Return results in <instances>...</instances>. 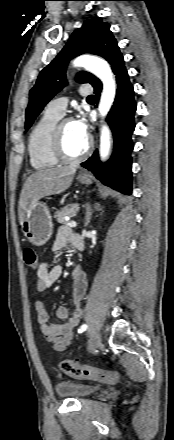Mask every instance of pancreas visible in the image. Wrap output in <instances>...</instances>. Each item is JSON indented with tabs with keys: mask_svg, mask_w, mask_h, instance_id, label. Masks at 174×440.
I'll list each match as a JSON object with an SVG mask.
<instances>
[{
	"mask_svg": "<svg viewBox=\"0 0 174 440\" xmlns=\"http://www.w3.org/2000/svg\"><path fill=\"white\" fill-rule=\"evenodd\" d=\"M78 210L77 204L67 205L60 210L56 211L54 214V218L60 224H67L68 222L64 219L65 216L74 217L76 216Z\"/></svg>",
	"mask_w": 174,
	"mask_h": 440,
	"instance_id": "1",
	"label": "pancreas"
}]
</instances>
